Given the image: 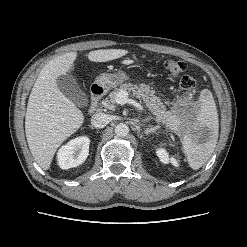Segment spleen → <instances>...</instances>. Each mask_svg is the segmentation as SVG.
Instances as JSON below:
<instances>
[{"label": "spleen", "mask_w": 247, "mask_h": 247, "mask_svg": "<svg viewBox=\"0 0 247 247\" xmlns=\"http://www.w3.org/2000/svg\"><path fill=\"white\" fill-rule=\"evenodd\" d=\"M199 106L191 131L186 133L182 140L188 164L194 170L202 167L211 157L217 144L219 130L216 104L208 89L201 91ZM205 130L209 131V137L206 141L199 142L198 138Z\"/></svg>", "instance_id": "obj_1"}]
</instances>
